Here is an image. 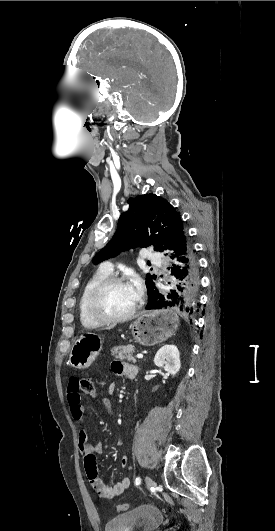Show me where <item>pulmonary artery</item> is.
<instances>
[{
    "mask_svg": "<svg viewBox=\"0 0 275 531\" xmlns=\"http://www.w3.org/2000/svg\"><path fill=\"white\" fill-rule=\"evenodd\" d=\"M148 261L150 264H152L154 266V268L158 269L159 273L161 274H164L166 273L167 271V268L166 266L163 265V263L161 262V258L160 256L158 255V252L156 250H151L149 252V258H148ZM103 269L108 272V273H111L112 272V268H110V264L109 263H104L103 264Z\"/></svg>",
    "mask_w": 275,
    "mask_h": 531,
    "instance_id": "pulmonary-artery-1",
    "label": "pulmonary artery"
}]
</instances>
